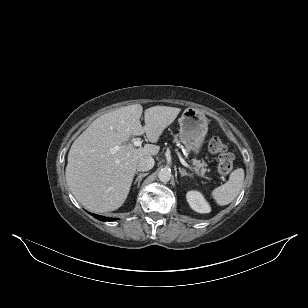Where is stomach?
<instances>
[{"instance_id": "0dacf381", "label": "stomach", "mask_w": 308, "mask_h": 308, "mask_svg": "<svg viewBox=\"0 0 308 308\" xmlns=\"http://www.w3.org/2000/svg\"><path fill=\"white\" fill-rule=\"evenodd\" d=\"M179 138L188 151L199 152L208 131V119L203 112L189 107L179 118Z\"/></svg>"}]
</instances>
